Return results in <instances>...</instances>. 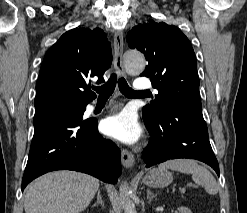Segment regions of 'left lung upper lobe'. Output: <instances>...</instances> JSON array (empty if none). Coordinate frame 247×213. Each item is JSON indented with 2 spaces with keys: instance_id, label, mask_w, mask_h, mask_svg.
I'll list each match as a JSON object with an SVG mask.
<instances>
[{
  "instance_id": "5c2ea615",
  "label": "left lung upper lobe",
  "mask_w": 247,
  "mask_h": 213,
  "mask_svg": "<svg viewBox=\"0 0 247 213\" xmlns=\"http://www.w3.org/2000/svg\"><path fill=\"white\" fill-rule=\"evenodd\" d=\"M127 42L130 48L145 55L148 65L141 76L150 77L158 90L151 105L142 109L146 124H154L171 99L201 109L196 57L190 41L178 27L150 20L132 28Z\"/></svg>"
}]
</instances>
